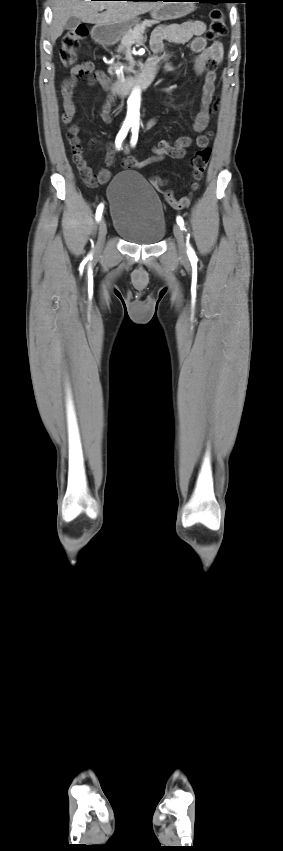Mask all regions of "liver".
Segmentation results:
<instances>
[{
    "instance_id": "1",
    "label": "liver",
    "mask_w": 283,
    "mask_h": 851,
    "mask_svg": "<svg viewBox=\"0 0 283 851\" xmlns=\"http://www.w3.org/2000/svg\"><path fill=\"white\" fill-rule=\"evenodd\" d=\"M161 5L157 1L53 0L51 42L54 44L62 35L66 22L72 16L85 23L109 25L136 18ZM102 6L106 11L98 13Z\"/></svg>"
}]
</instances>
